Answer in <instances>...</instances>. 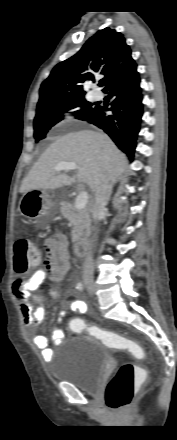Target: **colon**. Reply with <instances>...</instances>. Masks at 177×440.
<instances>
[{
    "label": "colon",
    "mask_w": 177,
    "mask_h": 440,
    "mask_svg": "<svg viewBox=\"0 0 177 440\" xmlns=\"http://www.w3.org/2000/svg\"><path fill=\"white\" fill-rule=\"evenodd\" d=\"M43 260L42 251L33 243L30 237H21L16 241L14 245V269L17 273H23ZM69 327L76 333L86 330L106 346L127 350L139 359L144 356L141 346L130 338L102 330L95 325L87 324L80 318H72ZM143 379L144 372L137 365L131 363L121 365L106 386L104 394L106 405L114 410L127 408Z\"/></svg>",
    "instance_id": "5ec220e1"
}]
</instances>
